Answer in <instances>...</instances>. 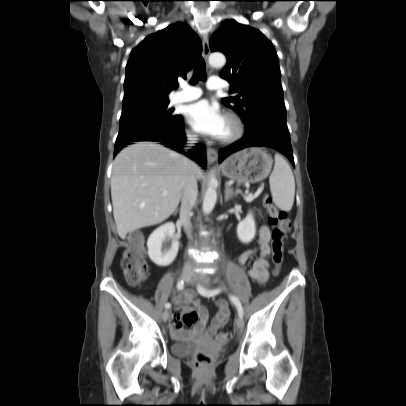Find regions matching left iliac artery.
<instances>
[{
	"instance_id": "1",
	"label": "left iliac artery",
	"mask_w": 406,
	"mask_h": 406,
	"mask_svg": "<svg viewBox=\"0 0 406 406\" xmlns=\"http://www.w3.org/2000/svg\"><path fill=\"white\" fill-rule=\"evenodd\" d=\"M221 291H222V288L205 289L202 286H198V292L201 295L207 296V297L218 295ZM230 299L235 304V306H236V308L238 310L239 316L243 317L244 311H243V307H242V304H241L240 300L234 295H232L230 297Z\"/></svg>"
}]
</instances>
